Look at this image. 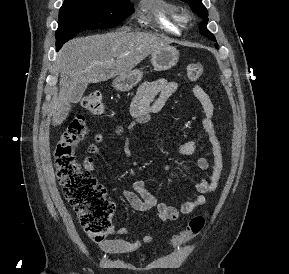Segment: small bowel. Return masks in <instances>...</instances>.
Returning a JSON list of instances; mask_svg holds the SVG:
<instances>
[{
	"label": "small bowel",
	"mask_w": 289,
	"mask_h": 274,
	"mask_svg": "<svg viewBox=\"0 0 289 274\" xmlns=\"http://www.w3.org/2000/svg\"><path fill=\"white\" fill-rule=\"evenodd\" d=\"M178 90V83L167 79H157L150 81L141 86L139 92L132 101L131 110L134 121L125 129L117 126L115 132L118 135L131 134L138 125L149 122L152 118L159 115L168 99ZM193 95L198 100L202 108L201 124L203 131L210 145L212 157L211 161L207 156L201 155L197 158V166L206 171L211 168L208 177L202 178L195 186L197 196L184 202L179 207L161 202L156 196L148 191L143 181L134 182L132 189H121L122 196L128 201L131 207L139 212H146L155 209L161 221H174L181 216L192 213L195 209L203 206L207 202L206 196L215 191L222 179L224 161L222 148L217 136L214 124L215 107L207 92L200 86L193 87ZM105 139L104 134H97L94 143L88 146V153L83 160V167L86 171H93L95 168V160L92 155L102 152L101 144ZM166 144L173 152L180 157H188L195 154L201 147L200 140H190L180 144L170 141L164 137ZM128 155L129 151L126 150ZM111 233L118 235H126V228L112 229ZM155 237L152 235H144L135 241H129L122 238H111L103 240L99 243L101 251L105 254H126L132 253L140 249L143 245L152 243Z\"/></svg>",
	"instance_id": "small-bowel-1"
}]
</instances>
